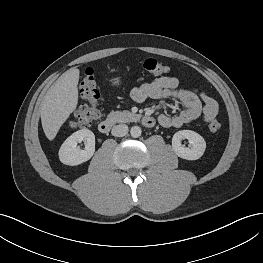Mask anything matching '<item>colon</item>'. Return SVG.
Returning <instances> with one entry per match:
<instances>
[{"instance_id":"obj_1","label":"colon","mask_w":263,"mask_h":263,"mask_svg":"<svg viewBox=\"0 0 263 263\" xmlns=\"http://www.w3.org/2000/svg\"><path fill=\"white\" fill-rule=\"evenodd\" d=\"M143 68L152 76H163L170 71V68L166 64L153 58L146 59L143 63ZM80 94L85 100V104L74 112L72 123L74 126L86 127L99 118L97 105L100 99V91L96 83L95 73L92 69L85 71L80 83ZM208 127L210 131L217 132L221 124L218 120L211 119Z\"/></svg>"}]
</instances>
